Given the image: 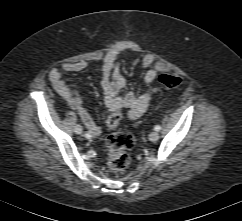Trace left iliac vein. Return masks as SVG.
<instances>
[{
  "label": "left iliac vein",
  "mask_w": 242,
  "mask_h": 221,
  "mask_svg": "<svg viewBox=\"0 0 242 221\" xmlns=\"http://www.w3.org/2000/svg\"><path fill=\"white\" fill-rule=\"evenodd\" d=\"M148 138L150 141L155 142L159 139V134H158V132L153 131L149 134Z\"/></svg>",
  "instance_id": "left-iliac-vein-1"
}]
</instances>
